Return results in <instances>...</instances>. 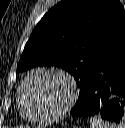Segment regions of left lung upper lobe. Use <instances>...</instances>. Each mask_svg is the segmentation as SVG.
Wrapping results in <instances>:
<instances>
[{
    "label": "left lung upper lobe",
    "instance_id": "left-lung-upper-lobe-1",
    "mask_svg": "<svg viewBox=\"0 0 125 128\" xmlns=\"http://www.w3.org/2000/svg\"><path fill=\"white\" fill-rule=\"evenodd\" d=\"M124 29L125 11L118 0H62L35 27L17 71L61 67L73 75L81 93L109 45Z\"/></svg>",
    "mask_w": 125,
    "mask_h": 128
}]
</instances>
